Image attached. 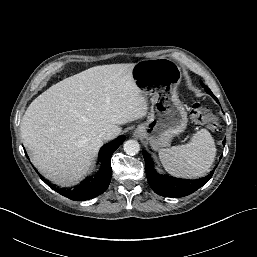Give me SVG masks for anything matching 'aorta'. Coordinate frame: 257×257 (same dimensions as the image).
Wrapping results in <instances>:
<instances>
[{
  "instance_id": "aorta-1",
  "label": "aorta",
  "mask_w": 257,
  "mask_h": 257,
  "mask_svg": "<svg viewBox=\"0 0 257 257\" xmlns=\"http://www.w3.org/2000/svg\"><path fill=\"white\" fill-rule=\"evenodd\" d=\"M124 151L128 155H136L140 150V145L136 140H127L123 145Z\"/></svg>"
}]
</instances>
